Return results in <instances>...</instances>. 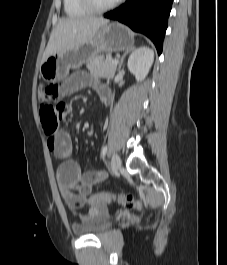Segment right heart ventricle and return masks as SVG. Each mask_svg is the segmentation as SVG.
Segmentation results:
<instances>
[{
    "mask_svg": "<svg viewBox=\"0 0 227 265\" xmlns=\"http://www.w3.org/2000/svg\"><path fill=\"white\" fill-rule=\"evenodd\" d=\"M64 12L69 17H79L90 13L79 0H63Z\"/></svg>",
    "mask_w": 227,
    "mask_h": 265,
    "instance_id": "obj_1",
    "label": "right heart ventricle"
}]
</instances>
